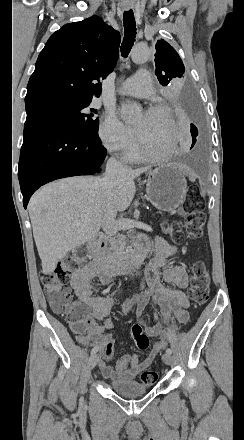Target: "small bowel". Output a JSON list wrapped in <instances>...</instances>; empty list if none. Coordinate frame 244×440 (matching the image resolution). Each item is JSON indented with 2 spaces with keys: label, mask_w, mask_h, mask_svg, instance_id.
Returning a JSON list of instances; mask_svg holds the SVG:
<instances>
[{
  "label": "small bowel",
  "mask_w": 244,
  "mask_h": 440,
  "mask_svg": "<svg viewBox=\"0 0 244 440\" xmlns=\"http://www.w3.org/2000/svg\"><path fill=\"white\" fill-rule=\"evenodd\" d=\"M147 245V239L143 238ZM155 258L146 268L142 284V292L133 299L138 303L139 309L151 298L154 304L161 306L165 315L173 313L180 324L189 321L187 309L190 305L189 299L184 293L188 284V277L185 269L170 258L178 252V248L171 245L163 238H156ZM112 275L103 271L96 262H90L77 269L71 277V288L73 289L77 303L89 307L91 326L87 327V338H76L77 342L85 347L91 345L99 346L96 364L102 375L113 381H129L137 377L147 369L156 357L166 348L168 334L164 331V323L156 326H148L139 318L138 322L145 324L143 333L150 334V348L147 356L140 360L137 355H123L119 357L115 365H111L114 357V339L111 333L112 323L107 320L104 325H98L97 320H102L111 311L114 303V295L107 293L104 296H93V282L97 280L101 285H108ZM165 281L168 286L162 283Z\"/></svg>",
  "instance_id": "1"
}]
</instances>
